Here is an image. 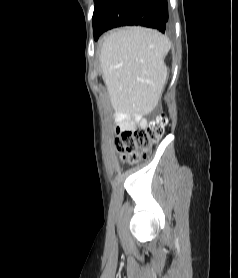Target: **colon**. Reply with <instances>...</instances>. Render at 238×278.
<instances>
[{"instance_id": "5ec220e1", "label": "colon", "mask_w": 238, "mask_h": 278, "mask_svg": "<svg viewBox=\"0 0 238 278\" xmlns=\"http://www.w3.org/2000/svg\"><path fill=\"white\" fill-rule=\"evenodd\" d=\"M166 124L167 118L160 115L147 127L120 132V137L115 142L117 150L130 163H135L140 158L146 159L152 146L162 137Z\"/></svg>"}]
</instances>
